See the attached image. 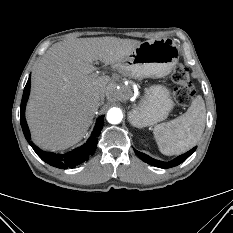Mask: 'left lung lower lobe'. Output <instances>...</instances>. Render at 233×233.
Returning a JSON list of instances; mask_svg holds the SVG:
<instances>
[{"instance_id":"left-lung-lower-lobe-1","label":"left lung lower lobe","mask_w":233,"mask_h":233,"mask_svg":"<svg viewBox=\"0 0 233 233\" xmlns=\"http://www.w3.org/2000/svg\"><path fill=\"white\" fill-rule=\"evenodd\" d=\"M196 150V147H194L193 149H191L190 151L186 152L185 154H182L180 156H178L177 158L173 159L172 161L169 162H163V161H159L156 159H153L151 157H149L148 155L141 153L137 150L134 149L135 153L146 163L155 166V167H159V168H171L174 166H177L179 164H181L182 162H184L194 151Z\"/></svg>"}]
</instances>
